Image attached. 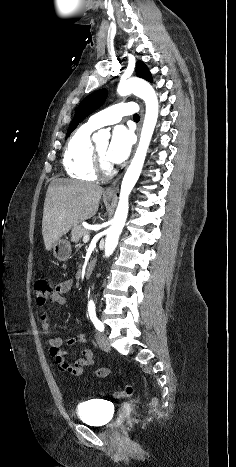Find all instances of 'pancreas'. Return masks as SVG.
<instances>
[{
  "label": "pancreas",
  "mask_w": 236,
  "mask_h": 467,
  "mask_svg": "<svg viewBox=\"0 0 236 467\" xmlns=\"http://www.w3.org/2000/svg\"><path fill=\"white\" fill-rule=\"evenodd\" d=\"M85 235H89V230H87L86 228H84L81 225H77V226L73 227V229L71 231V241L75 242V243H78L80 238L82 236H85Z\"/></svg>",
  "instance_id": "pancreas-1"
}]
</instances>
